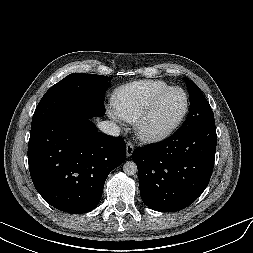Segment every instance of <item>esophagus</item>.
Masks as SVG:
<instances>
[{
	"label": "esophagus",
	"mask_w": 253,
	"mask_h": 253,
	"mask_svg": "<svg viewBox=\"0 0 253 253\" xmlns=\"http://www.w3.org/2000/svg\"><path fill=\"white\" fill-rule=\"evenodd\" d=\"M134 151V144L130 141L126 143V156L130 157Z\"/></svg>",
	"instance_id": "esophagus-1"
}]
</instances>
